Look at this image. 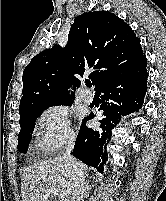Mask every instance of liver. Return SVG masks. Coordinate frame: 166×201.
<instances>
[{
  "label": "liver",
  "mask_w": 166,
  "mask_h": 201,
  "mask_svg": "<svg viewBox=\"0 0 166 201\" xmlns=\"http://www.w3.org/2000/svg\"><path fill=\"white\" fill-rule=\"evenodd\" d=\"M79 163L84 173L86 166ZM49 190H55L57 195L50 194L46 198ZM71 192L72 178L62 156L29 166L22 174V201H70ZM54 196L58 200H50Z\"/></svg>",
  "instance_id": "6515ba94"
}]
</instances>
